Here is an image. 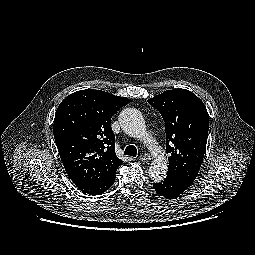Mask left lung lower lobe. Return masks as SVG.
<instances>
[{
  "instance_id": "0a47b994",
  "label": "left lung lower lobe",
  "mask_w": 255,
  "mask_h": 255,
  "mask_svg": "<svg viewBox=\"0 0 255 255\" xmlns=\"http://www.w3.org/2000/svg\"><path fill=\"white\" fill-rule=\"evenodd\" d=\"M191 185L190 182L167 176L164 181L154 183L155 191L166 197L174 198L182 194Z\"/></svg>"
}]
</instances>
